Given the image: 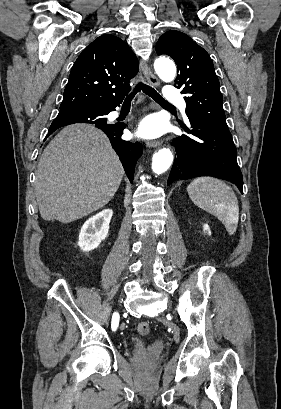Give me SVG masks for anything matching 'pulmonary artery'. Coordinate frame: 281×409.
I'll return each instance as SVG.
<instances>
[{
  "instance_id": "e3ab8cb5",
  "label": "pulmonary artery",
  "mask_w": 281,
  "mask_h": 409,
  "mask_svg": "<svg viewBox=\"0 0 281 409\" xmlns=\"http://www.w3.org/2000/svg\"><path fill=\"white\" fill-rule=\"evenodd\" d=\"M165 93L167 94L166 96V101L168 103H181L180 108L183 112H185L186 109V104L184 103V95L183 94H178V89L172 82H169L167 84V87L165 88ZM119 115L118 112H113L112 117L116 118Z\"/></svg>"
}]
</instances>
